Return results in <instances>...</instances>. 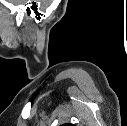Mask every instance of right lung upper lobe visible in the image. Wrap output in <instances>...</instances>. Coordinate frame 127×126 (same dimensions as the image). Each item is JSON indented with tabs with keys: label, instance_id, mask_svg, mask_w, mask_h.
<instances>
[{
	"label": "right lung upper lobe",
	"instance_id": "right-lung-upper-lobe-1",
	"mask_svg": "<svg viewBox=\"0 0 127 126\" xmlns=\"http://www.w3.org/2000/svg\"><path fill=\"white\" fill-rule=\"evenodd\" d=\"M63 126H74L73 124H64Z\"/></svg>",
	"mask_w": 127,
	"mask_h": 126
}]
</instances>
